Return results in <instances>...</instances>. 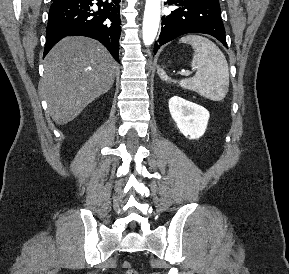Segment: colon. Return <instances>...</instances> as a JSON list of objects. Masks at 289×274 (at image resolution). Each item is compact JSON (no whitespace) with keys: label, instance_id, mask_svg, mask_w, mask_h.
<instances>
[{"label":"colon","instance_id":"colon-1","mask_svg":"<svg viewBox=\"0 0 289 274\" xmlns=\"http://www.w3.org/2000/svg\"><path fill=\"white\" fill-rule=\"evenodd\" d=\"M122 267L125 270V274H139L128 261L123 262Z\"/></svg>","mask_w":289,"mask_h":274}]
</instances>
